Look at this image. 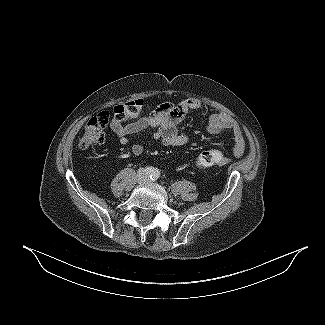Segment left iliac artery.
Returning a JSON list of instances; mask_svg holds the SVG:
<instances>
[{
  "label": "left iliac artery",
  "instance_id": "44dca946",
  "mask_svg": "<svg viewBox=\"0 0 325 325\" xmlns=\"http://www.w3.org/2000/svg\"><path fill=\"white\" fill-rule=\"evenodd\" d=\"M159 177H160V172L158 170H156L150 178L155 181Z\"/></svg>",
  "mask_w": 325,
  "mask_h": 325
}]
</instances>
